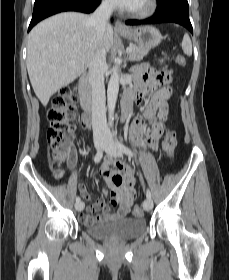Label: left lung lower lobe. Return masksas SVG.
Here are the masks:
<instances>
[{"instance_id":"1","label":"left lung lower lobe","mask_w":229,"mask_h":280,"mask_svg":"<svg viewBox=\"0 0 229 280\" xmlns=\"http://www.w3.org/2000/svg\"><path fill=\"white\" fill-rule=\"evenodd\" d=\"M174 22L186 27L192 34L193 29L189 19L187 0H159L156 14L145 20H129L127 25L155 24Z\"/></svg>"}]
</instances>
